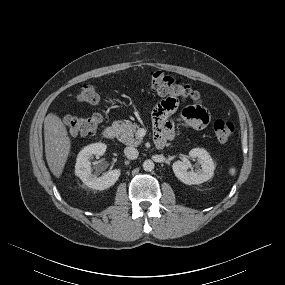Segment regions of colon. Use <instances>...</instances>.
Wrapping results in <instances>:
<instances>
[{
    "label": "colon",
    "mask_w": 285,
    "mask_h": 285,
    "mask_svg": "<svg viewBox=\"0 0 285 285\" xmlns=\"http://www.w3.org/2000/svg\"><path fill=\"white\" fill-rule=\"evenodd\" d=\"M150 86L162 98L167 95L174 96L179 101H196L200 98L196 90L161 72L150 75ZM75 99L77 102L91 105H97L100 102V97L92 83L83 84ZM63 122L71 135L87 136L96 132L102 122V115L94 113L89 117L66 116ZM213 131L219 142H226L234 135L235 126L229 121L219 119L214 122Z\"/></svg>",
    "instance_id": "obj_1"
}]
</instances>
